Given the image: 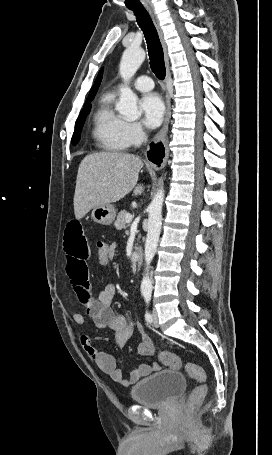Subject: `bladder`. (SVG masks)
<instances>
[{
	"instance_id": "1",
	"label": "bladder",
	"mask_w": 272,
	"mask_h": 455,
	"mask_svg": "<svg viewBox=\"0 0 272 455\" xmlns=\"http://www.w3.org/2000/svg\"><path fill=\"white\" fill-rule=\"evenodd\" d=\"M183 374L162 370L139 381L133 386L130 396L133 401L151 407H164L173 401L185 388Z\"/></svg>"
}]
</instances>
